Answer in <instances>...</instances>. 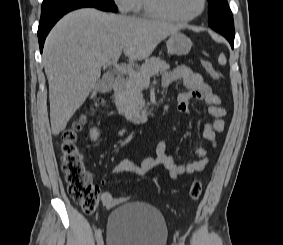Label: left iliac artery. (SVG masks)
Segmentation results:
<instances>
[{"mask_svg":"<svg viewBox=\"0 0 283 245\" xmlns=\"http://www.w3.org/2000/svg\"><path fill=\"white\" fill-rule=\"evenodd\" d=\"M179 245H184V242H182V241H179Z\"/></svg>","mask_w":283,"mask_h":245,"instance_id":"obj_1","label":"left iliac artery"}]
</instances>
